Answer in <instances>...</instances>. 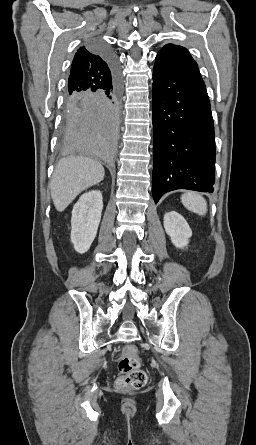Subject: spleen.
Returning <instances> with one entry per match:
<instances>
[{"label": "spleen", "mask_w": 256, "mask_h": 445, "mask_svg": "<svg viewBox=\"0 0 256 445\" xmlns=\"http://www.w3.org/2000/svg\"><path fill=\"white\" fill-rule=\"evenodd\" d=\"M183 205L190 211L199 215H205L207 212L206 200L199 194L187 192L181 196Z\"/></svg>", "instance_id": "spleen-1"}]
</instances>
